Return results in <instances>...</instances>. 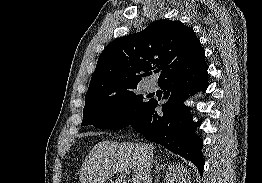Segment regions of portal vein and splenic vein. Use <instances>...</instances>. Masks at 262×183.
<instances>
[{"label":"portal vein and splenic vein","instance_id":"portal-vein-and-splenic-vein-1","mask_svg":"<svg viewBox=\"0 0 262 183\" xmlns=\"http://www.w3.org/2000/svg\"><path fill=\"white\" fill-rule=\"evenodd\" d=\"M131 171L130 170H121L119 171V174H123V175H130ZM132 182L133 183H140L141 180L139 177H137L136 175L132 176Z\"/></svg>","mask_w":262,"mask_h":183}]
</instances>
